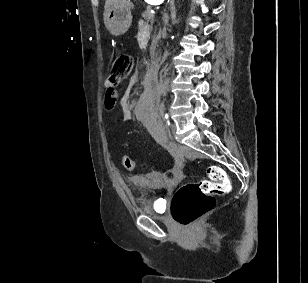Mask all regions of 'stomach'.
Instances as JSON below:
<instances>
[{
	"mask_svg": "<svg viewBox=\"0 0 308 283\" xmlns=\"http://www.w3.org/2000/svg\"><path fill=\"white\" fill-rule=\"evenodd\" d=\"M133 4L130 0H119L104 11V24L113 35H123L131 26Z\"/></svg>",
	"mask_w": 308,
	"mask_h": 283,
	"instance_id": "1",
	"label": "stomach"
}]
</instances>
